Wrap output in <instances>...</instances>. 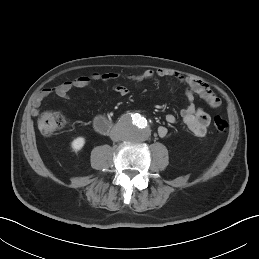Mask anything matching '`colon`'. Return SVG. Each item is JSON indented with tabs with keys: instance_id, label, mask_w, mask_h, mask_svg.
<instances>
[{
	"instance_id": "colon-1",
	"label": "colon",
	"mask_w": 259,
	"mask_h": 259,
	"mask_svg": "<svg viewBox=\"0 0 259 259\" xmlns=\"http://www.w3.org/2000/svg\"><path fill=\"white\" fill-rule=\"evenodd\" d=\"M66 123L65 115L62 111L49 110L41 114L39 118L40 132L45 136L57 133ZM227 122L220 116L214 118L213 127L215 131L223 133L227 129Z\"/></svg>"
}]
</instances>
